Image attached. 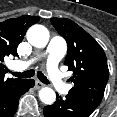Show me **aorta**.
Wrapping results in <instances>:
<instances>
[{"label":"aorta","instance_id":"762f6f07","mask_svg":"<svg viewBox=\"0 0 117 117\" xmlns=\"http://www.w3.org/2000/svg\"><path fill=\"white\" fill-rule=\"evenodd\" d=\"M28 42L37 48H43L47 45L49 41V31L43 25H33L27 31ZM40 100L47 105L55 102L56 94L53 89L49 87H44L39 91Z\"/></svg>","mask_w":117,"mask_h":117}]
</instances>
